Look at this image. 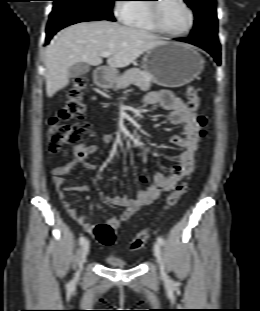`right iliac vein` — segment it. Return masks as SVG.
<instances>
[{
    "instance_id": "1",
    "label": "right iliac vein",
    "mask_w": 260,
    "mask_h": 311,
    "mask_svg": "<svg viewBox=\"0 0 260 311\" xmlns=\"http://www.w3.org/2000/svg\"><path fill=\"white\" fill-rule=\"evenodd\" d=\"M89 248H90V244L88 240H85V242L82 244L81 246V250H80V267L82 266V264L84 263L88 253H89Z\"/></svg>"
}]
</instances>
